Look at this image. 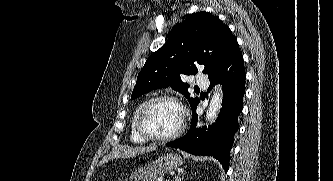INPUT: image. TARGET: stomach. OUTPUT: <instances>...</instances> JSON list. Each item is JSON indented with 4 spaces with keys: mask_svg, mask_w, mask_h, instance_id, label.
I'll use <instances>...</instances> for the list:
<instances>
[{
    "mask_svg": "<svg viewBox=\"0 0 333 181\" xmlns=\"http://www.w3.org/2000/svg\"><path fill=\"white\" fill-rule=\"evenodd\" d=\"M183 159L178 154L167 153L155 161L136 169L129 177V181H156L168 172L179 168Z\"/></svg>",
    "mask_w": 333,
    "mask_h": 181,
    "instance_id": "stomach-1",
    "label": "stomach"
}]
</instances>
